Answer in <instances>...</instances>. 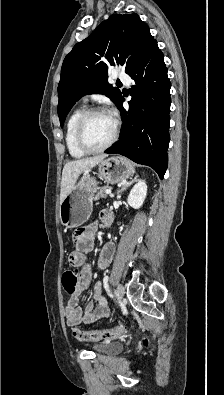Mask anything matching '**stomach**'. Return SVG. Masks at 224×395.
Here are the masks:
<instances>
[{
  "instance_id": "0dacf381",
  "label": "stomach",
  "mask_w": 224,
  "mask_h": 395,
  "mask_svg": "<svg viewBox=\"0 0 224 395\" xmlns=\"http://www.w3.org/2000/svg\"><path fill=\"white\" fill-rule=\"evenodd\" d=\"M99 177L106 183H119L134 174L132 163L121 156L102 160L98 165ZM98 183L85 173L70 193L60 203V222L67 228H76L85 223L92 213L93 196Z\"/></svg>"
}]
</instances>
